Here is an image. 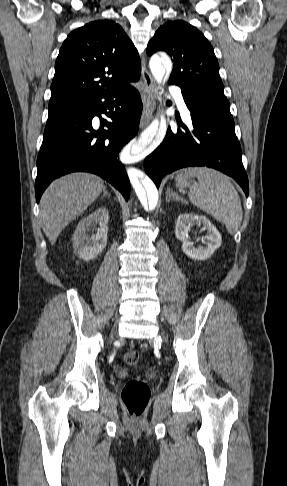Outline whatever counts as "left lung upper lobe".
Listing matches in <instances>:
<instances>
[{"instance_id": "left-lung-upper-lobe-1", "label": "left lung upper lobe", "mask_w": 287, "mask_h": 486, "mask_svg": "<svg viewBox=\"0 0 287 486\" xmlns=\"http://www.w3.org/2000/svg\"><path fill=\"white\" fill-rule=\"evenodd\" d=\"M157 51L167 52L174 61L170 84L189 91L209 111L233 120L214 50L199 30L182 20L168 21L148 44V55Z\"/></svg>"}]
</instances>
